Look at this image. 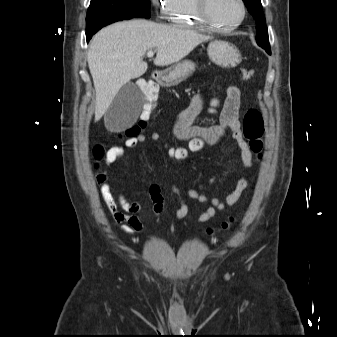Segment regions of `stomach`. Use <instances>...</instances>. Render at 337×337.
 Instances as JSON below:
<instances>
[{"mask_svg": "<svg viewBox=\"0 0 337 337\" xmlns=\"http://www.w3.org/2000/svg\"><path fill=\"white\" fill-rule=\"evenodd\" d=\"M210 59L222 67H235L241 62L239 50L232 44L215 40L207 48ZM195 71V64L190 60L179 62L163 71L158 81L167 85H176L187 79Z\"/></svg>", "mask_w": 337, "mask_h": 337, "instance_id": "obj_1", "label": "stomach"}]
</instances>
